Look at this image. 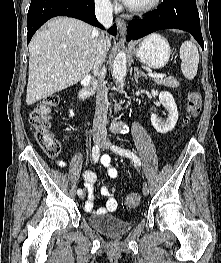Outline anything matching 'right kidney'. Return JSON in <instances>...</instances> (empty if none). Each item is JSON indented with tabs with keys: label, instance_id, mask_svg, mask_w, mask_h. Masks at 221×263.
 I'll return each instance as SVG.
<instances>
[{
	"label": "right kidney",
	"instance_id": "obj_1",
	"mask_svg": "<svg viewBox=\"0 0 221 263\" xmlns=\"http://www.w3.org/2000/svg\"><path fill=\"white\" fill-rule=\"evenodd\" d=\"M75 114H74V112H73V110L71 109V110H69V116L70 117H73Z\"/></svg>",
	"mask_w": 221,
	"mask_h": 263
}]
</instances>
